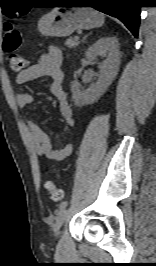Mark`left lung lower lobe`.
<instances>
[{
	"label": "left lung lower lobe",
	"mask_w": 156,
	"mask_h": 266,
	"mask_svg": "<svg viewBox=\"0 0 156 266\" xmlns=\"http://www.w3.org/2000/svg\"><path fill=\"white\" fill-rule=\"evenodd\" d=\"M63 3L94 7L100 12L118 18L137 37L140 21L139 0H66Z\"/></svg>",
	"instance_id": "1"
}]
</instances>
